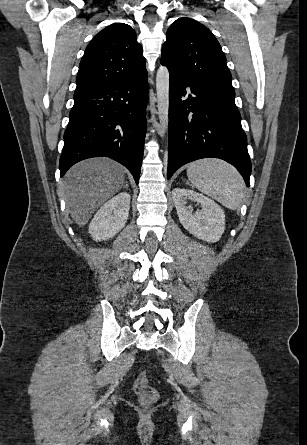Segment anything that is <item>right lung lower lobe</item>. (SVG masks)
<instances>
[{"label": "right lung lower lobe", "mask_w": 307, "mask_h": 445, "mask_svg": "<svg viewBox=\"0 0 307 445\" xmlns=\"http://www.w3.org/2000/svg\"><path fill=\"white\" fill-rule=\"evenodd\" d=\"M147 71L124 81L74 94L64 134L60 175L75 163L107 156L139 182L146 133Z\"/></svg>", "instance_id": "right-lung-lower-lobe-1"}]
</instances>
